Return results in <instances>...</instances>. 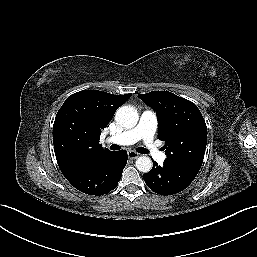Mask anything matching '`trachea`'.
I'll list each match as a JSON object with an SVG mask.
<instances>
[{
	"label": "trachea",
	"mask_w": 257,
	"mask_h": 257,
	"mask_svg": "<svg viewBox=\"0 0 257 257\" xmlns=\"http://www.w3.org/2000/svg\"><path fill=\"white\" fill-rule=\"evenodd\" d=\"M121 147L119 145H116V144H113L110 146V149L111 150H119ZM136 151L141 153V154H147L148 153V150L143 148V147H138L136 148Z\"/></svg>",
	"instance_id": "3493384b"
}]
</instances>
